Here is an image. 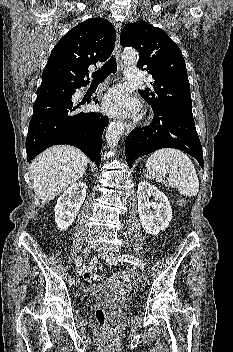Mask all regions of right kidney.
Segmentation results:
<instances>
[{
  "label": "right kidney",
  "instance_id": "obj_1",
  "mask_svg": "<svg viewBox=\"0 0 233 352\" xmlns=\"http://www.w3.org/2000/svg\"><path fill=\"white\" fill-rule=\"evenodd\" d=\"M86 190L84 182L74 183L58 198L54 211L60 230H66L74 222L85 200Z\"/></svg>",
  "mask_w": 233,
  "mask_h": 352
}]
</instances>
